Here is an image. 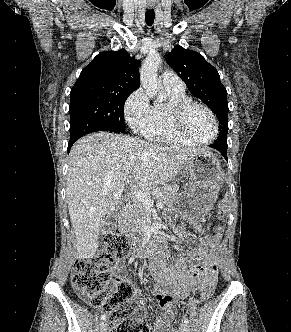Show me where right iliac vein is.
<instances>
[{"instance_id": "right-iliac-vein-1", "label": "right iliac vein", "mask_w": 291, "mask_h": 332, "mask_svg": "<svg viewBox=\"0 0 291 332\" xmlns=\"http://www.w3.org/2000/svg\"><path fill=\"white\" fill-rule=\"evenodd\" d=\"M108 330V325L106 321H102L100 323V332H107Z\"/></svg>"}]
</instances>
